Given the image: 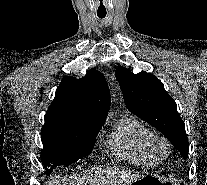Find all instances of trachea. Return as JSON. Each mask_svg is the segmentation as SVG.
I'll list each match as a JSON object with an SVG mask.
<instances>
[{
  "label": "trachea",
  "mask_w": 207,
  "mask_h": 185,
  "mask_svg": "<svg viewBox=\"0 0 207 185\" xmlns=\"http://www.w3.org/2000/svg\"><path fill=\"white\" fill-rule=\"evenodd\" d=\"M99 18H104V16H99Z\"/></svg>",
  "instance_id": "3493384b"
}]
</instances>
